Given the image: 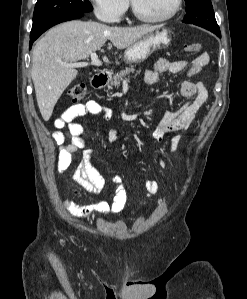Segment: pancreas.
Returning <instances> with one entry per match:
<instances>
[{
    "instance_id": "pancreas-1",
    "label": "pancreas",
    "mask_w": 247,
    "mask_h": 299,
    "mask_svg": "<svg viewBox=\"0 0 247 299\" xmlns=\"http://www.w3.org/2000/svg\"><path fill=\"white\" fill-rule=\"evenodd\" d=\"M131 72H134L133 66L126 67V69L120 71L119 73H116L113 76V79L110 81V86L118 87L120 85L121 81H123V79L126 76H128Z\"/></svg>"
}]
</instances>
